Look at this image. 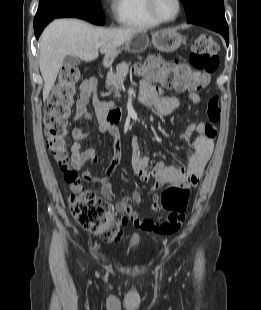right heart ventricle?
<instances>
[{
    "mask_svg": "<svg viewBox=\"0 0 261 310\" xmlns=\"http://www.w3.org/2000/svg\"><path fill=\"white\" fill-rule=\"evenodd\" d=\"M114 17L118 24L135 29H151L160 25L149 13L146 0H114Z\"/></svg>",
    "mask_w": 261,
    "mask_h": 310,
    "instance_id": "right-heart-ventricle-1",
    "label": "right heart ventricle"
}]
</instances>
